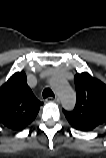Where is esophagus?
I'll list each match as a JSON object with an SVG mask.
<instances>
[{
	"mask_svg": "<svg viewBox=\"0 0 106 158\" xmlns=\"http://www.w3.org/2000/svg\"><path fill=\"white\" fill-rule=\"evenodd\" d=\"M47 101H54V102H58V101H59V98H58V96L48 97V98H47Z\"/></svg>",
	"mask_w": 106,
	"mask_h": 158,
	"instance_id": "1",
	"label": "esophagus"
}]
</instances>
